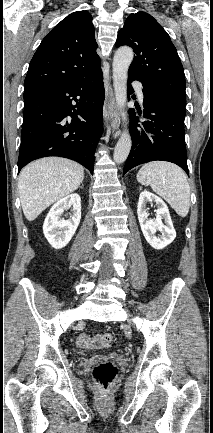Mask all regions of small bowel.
<instances>
[{"label":"small bowel","mask_w":213,"mask_h":433,"mask_svg":"<svg viewBox=\"0 0 213 433\" xmlns=\"http://www.w3.org/2000/svg\"><path fill=\"white\" fill-rule=\"evenodd\" d=\"M77 345L81 348L93 349L105 347L102 336L97 334H81L77 338Z\"/></svg>","instance_id":"c3829d8e"}]
</instances>
